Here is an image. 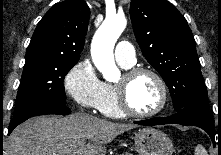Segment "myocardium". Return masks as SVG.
Here are the masks:
<instances>
[{
	"mask_svg": "<svg viewBox=\"0 0 221 155\" xmlns=\"http://www.w3.org/2000/svg\"><path fill=\"white\" fill-rule=\"evenodd\" d=\"M148 74L151 75L159 85L161 91V102L160 105L153 111L150 112H139L135 110L128 97V88L130 83L139 75ZM116 97L119 108L121 111L128 116L137 118H150L160 114L168 103V88L162 78V76L155 70L147 67H134L128 69L123 75L122 80L115 85Z\"/></svg>",
	"mask_w": 221,
	"mask_h": 155,
	"instance_id": "1",
	"label": "myocardium"
}]
</instances>
